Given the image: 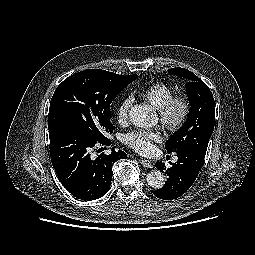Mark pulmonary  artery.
<instances>
[{"instance_id": "pulmonary-artery-1", "label": "pulmonary artery", "mask_w": 255, "mask_h": 255, "mask_svg": "<svg viewBox=\"0 0 255 255\" xmlns=\"http://www.w3.org/2000/svg\"><path fill=\"white\" fill-rule=\"evenodd\" d=\"M173 161L176 162V161H177V157H174V158H173Z\"/></svg>"}]
</instances>
